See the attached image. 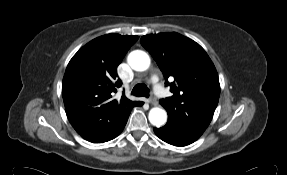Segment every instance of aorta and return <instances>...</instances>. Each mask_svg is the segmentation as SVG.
Returning <instances> with one entry per match:
<instances>
[{"label":"aorta","mask_w":287,"mask_h":175,"mask_svg":"<svg viewBox=\"0 0 287 175\" xmlns=\"http://www.w3.org/2000/svg\"><path fill=\"white\" fill-rule=\"evenodd\" d=\"M127 61L135 71H146L150 66V57L142 50L132 51L128 55ZM148 119L152 125L160 127L166 123L167 113L163 108L154 107L149 111Z\"/></svg>","instance_id":"1"}]
</instances>
